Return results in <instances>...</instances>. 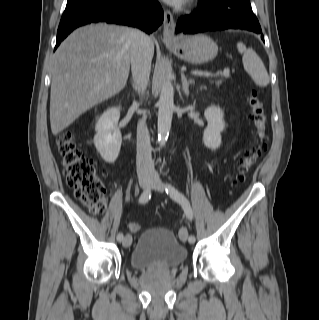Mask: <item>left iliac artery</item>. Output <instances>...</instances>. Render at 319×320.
Returning <instances> with one entry per match:
<instances>
[{
  "instance_id": "obj_1",
  "label": "left iliac artery",
  "mask_w": 319,
  "mask_h": 320,
  "mask_svg": "<svg viewBox=\"0 0 319 320\" xmlns=\"http://www.w3.org/2000/svg\"><path fill=\"white\" fill-rule=\"evenodd\" d=\"M166 193L175 201H177L178 203H180L184 209V212L186 214V217L189 220H192L193 218V212L190 206L189 201L186 199V197L180 193L174 186L167 184L166 188ZM180 233V231H179ZM195 237L193 235H190L188 238L189 243H194L195 242Z\"/></svg>"
}]
</instances>
